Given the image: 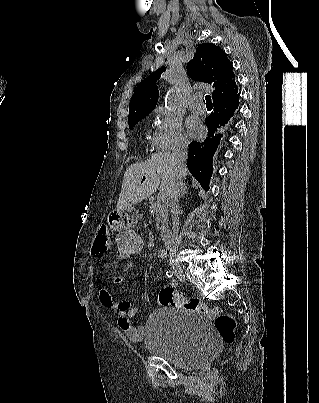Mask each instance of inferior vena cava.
Instances as JSON below:
<instances>
[{"mask_svg": "<svg viewBox=\"0 0 319 403\" xmlns=\"http://www.w3.org/2000/svg\"><path fill=\"white\" fill-rule=\"evenodd\" d=\"M175 165L180 168L184 165V161L188 156V142L182 138L178 139L172 153ZM181 177L176 175L175 180L169 191V198L171 199V213H172V236L171 243L175 246L177 234L179 229V193L181 187Z\"/></svg>", "mask_w": 319, "mask_h": 403, "instance_id": "602c4592", "label": "inferior vena cava"}]
</instances>
